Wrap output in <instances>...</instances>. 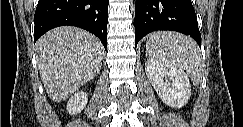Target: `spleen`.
Returning a JSON list of instances; mask_svg holds the SVG:
<instances>
[{
  "instance_id": "spleen-1",
  "label": "spleen",
  "mask_w": 243,
  "mask_h": 127,
  "mask_svg": "<svg viewBox=\"0 0 243 127\" xmlns=\"http://www.w3.org/2000/svg\"><path fill=\"white\" fill-rule=\"evenodd\" d=\"M146 53L163 65L183 68L194 85L201 80V57L197 44L188 36L174 32H158L149 36Z\"/></svg>"
}]
</instances>
